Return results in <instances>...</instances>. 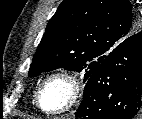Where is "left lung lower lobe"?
<instances>
[{
  "instance_id": "left-lung-lower-lobe-1",
  "label": "left lung lower lobe",
  "mask_w": 142,
  "mask_h": 119,
  "mask_svg": "<svg viewBox=\"0 0 142 119\" xmlns=\"http://www.w3.org/2000/svg\"><path fill=\"white\" fill-rule=\"evenodd\" d=\"M142 31L119 43L87 80L75 116L83 119L142 117Z\"/></svg>"
}]
</instances>
